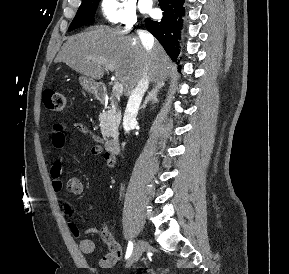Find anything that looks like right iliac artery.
<instances>
[{
    "label": "right iliac artery",
    "mask_w": 289,
    "mask_h": 274,
    "mask_svg": "<svg viewBox=\"0 0 289 274\" xmlns=\"http://www.w3.org/2000/svg\"><path fill=\"white\" fill-rule=\"evenodd\" d=\"M132 251H133V243L131 241H129L126 255H125V259H128L130 257V255L132 254Z\"/></svg>",
    "instance_id": "1"
}]
</instances>
